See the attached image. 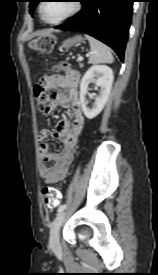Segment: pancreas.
<instances>
[{"label":"pancreas","instance_id":"pancreas-1","mask_svg":"<svg viewBox=\"0 0 158 275\" xmlns=\"http://www.w3.org/2000/svg\"><path fill=\"white\" fill-rule=\"evenodd\" d=\"M79 66L82 68V67H83V64H82V63H80V64H79Z\"/></svg>","mask_w":158,"mask_h":275}]
</instances>
